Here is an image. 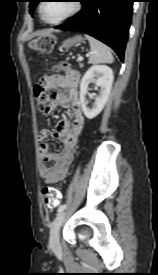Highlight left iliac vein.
Returning <instances> with one entry per match:
<instances>
[{
  "instance_id": "4c4485c4",
  "label": "left iliac vein",
  "mask_w": 158,
  "mask_h": 275,
  "mask_svg": "<svg viewBox=\"0 0 158 275\" xmlns=\"http://www.w3.org/2000/svg\"><path fill=\"white\" fill-rule=\"evenodd\" d=\"M65 218L66 212L62 211L57 214L51 223L49 244L53 251H58L60 249L59 231Z\"/></svg>"
}]
</instances>
